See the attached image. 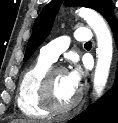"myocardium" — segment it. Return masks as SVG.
Returning <instances> with one entry per match:
<instances>
[{
	"mask_svg": "<svg viewBox=\"0 0 118 123\" xmlns=\"http://www.w3.org/2000/svg\"><path fill=\"white\" fill-rule=\"evenodd\" d=\"M66 72L63 67L52 66L43 76L40 84V102L49 113L65 114L75 108L82 99V90L78 89L74 99L65 106L58 105L53 97V80L57 73Z\"/></svg>",
	"mask_w": 118,
	"mask_h": 123,
	"instance_id": "1",
	"label": "myocardium"
}]
</instances>
